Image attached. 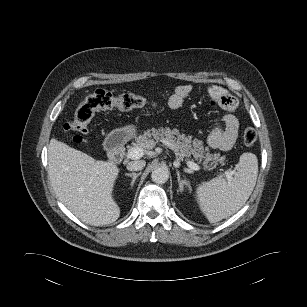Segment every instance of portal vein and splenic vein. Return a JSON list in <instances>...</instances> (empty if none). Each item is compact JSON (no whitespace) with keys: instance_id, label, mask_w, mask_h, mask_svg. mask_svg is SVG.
I'll return each mask as SVG.
<instances>
[{"instance_id":"obj_1","label":"portal vein and splenic vein","mask_w":307,"mask_h":307,"mask_svg":"<svg viewBox=\"0 0 307 307\" xmlns=\"http://www.w3.org/2000/svg\"><path fill=\"white\" fill-rule=\"evenodd\" d=\"M144 155V151L140 147H135L130 150L128 153V158L130 159H140ZM179 163V162H178ZM179 165V164H178ZM187 166L194 171L200 170V166L196 164L195 162L188 160L187 161ZM226 176L228 178H231V175L233 174L232 172L226 171L225 172Z\"/></svg>"}]
</instances>
